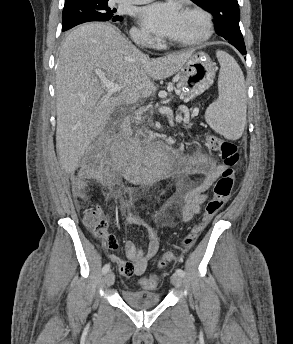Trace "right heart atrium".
<instances>
[{"label": "right heart atrium", "instance_id": "d8ad5b80", "mask_svg": "<svg viewBox=\"0 0 293 344\" xmlns=\"http://www.w3.org/2000/svg\"><path fill=\"white\" fill-rule=\"evenodd\" d=\"M131 37L134 41L143 43L147 46H154L156 43V40L146 31L133 28L131 30Z\"/></svg>", "mask_w": 293, "mask_h": 344}]
</instances>
